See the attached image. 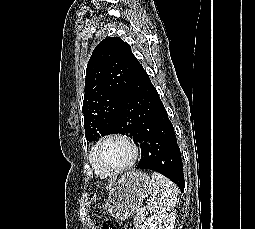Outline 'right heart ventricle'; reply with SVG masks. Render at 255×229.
<instances>
[{"label":"right heart ventricle","mask_w":255,"mask_h":229,"mask_svg":"<svg viewBox=\"0 0 255 229\" xmlns=\"http://www.w3.org/2000/svg\"><path fill=\"white\" fill-rule=\"evenodd\" d=\"M89 162L94 170V172L96 173V175H98L99 177L101 178H107L109 177V175L101 168L99 167L98 165L96 164H93L91 161H90V156H89Z\"/></svg>","instance_id":"right-heart-ventricle-1"}]
</instances>
